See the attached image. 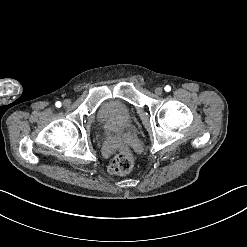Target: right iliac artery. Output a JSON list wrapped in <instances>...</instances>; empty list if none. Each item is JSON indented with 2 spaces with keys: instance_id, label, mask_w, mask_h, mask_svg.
<instances>
[{
  "instance_id": "82829eb1",
  "label": "right iliac artery",
  "mask_w": 247,
  "mask_h": 247,
  "mask_svg": "<svg viewBox=\"0 0 247 247\" xmlns=\"http://www.w3.org/2000/svg\"><path fill=\"white\" fill-rule=\"evenodd\" d=\"M55 105H56V107H58V108H59V107H61V102H60V101H58V102H56V103H55Z\"/></svg>"
}]
</instances>
